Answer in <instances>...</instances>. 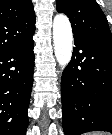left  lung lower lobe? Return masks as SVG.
<instances>
[{
    "label": "left lung lower lobe",
    "mask_w": 112,
    "mask_h": 135,
    "mask_svg": "<svg viewBox=\"0 0 112 135\" xmlns=\"http://www.w3.org/2000/svg\"><path fill=\"white\" fill-rule=\"evenodd\" d=\"M74 45L61 79L64 133H112V41L74 35Z\"/></svg>",
    "instance_id": "0a47b994"
}]
</instances>
